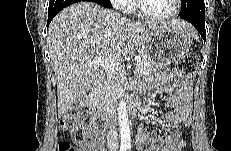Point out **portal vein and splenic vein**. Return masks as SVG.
<instances>
[{
  "label": "portal vein and splenic vein",
  "instance_id": "1",
  "mask_svg": "<svg viewBox=\"0 0 231 151\" xmlns=\"http://www.w3.org/2000/svg\"><path fill=\"white\" fill-rule=\"evenodd\" d=\"M135 61L139 63L141 61V56H136ZM93 64H98L102 67H104L108 72H119L121 70L118 63H115L113 61L107 60L102 58V56H99L98 58L94 59L92 61Z\"/></svg>",
  "mask_w": 231,
  "mask_h": 151
}]
</instances>
